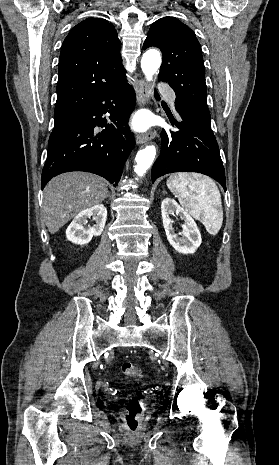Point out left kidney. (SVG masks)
Returning a JSON list of instances; mask_svg holds the SVG:
<instances>
[{"instance_id": "obj_1", "label": "left kidney", "mask_w": 279, "mask_h": 465, "mask_svg": "<svg viewBox=\"0 0 279 465\" xmlns=\"http://www.w3.org/2000/svg\"><path fill=\"white\" fill-rule=\"evenodd\" d=\"M163 226L170 245L179 253L193 254L200 246L202 239L200 231L190 216L174 199L165 198L161 203ZM176 213L184 221L182 231L175 233L172 227L171 214Z\"/></svg>"}]
</instances>
